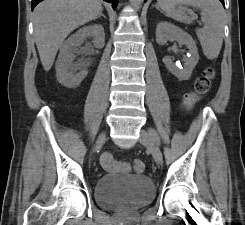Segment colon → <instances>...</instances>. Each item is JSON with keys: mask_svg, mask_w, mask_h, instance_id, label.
<instances>
[{"mask_svg": "<svg viewBox=\"0 0 245 225\" xmlns=\"http://www.w3.org/2000/svg\"><path fill=\"white\" fill-rule=\"evenodd\" d=\"M214 70L206 68L202 75L196 80L193 91L184 95L183 103L187 110H190L200 99L205 96L211 88L212 80L214 78ZM101 165L106 171H114L121 168H129L135 173H142L145 166L140 160H133L130 162L116 161L110 154L105 153L101 157Z\"/></svg>", "mask_w": 245, "mask_h": 225, "instance_id": "colon-1", "label": "colon"}]
</instances>
